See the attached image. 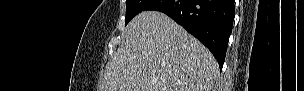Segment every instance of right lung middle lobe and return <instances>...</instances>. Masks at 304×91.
<instances>
[{"label": "right lung middle lobe", "instance_id": "1", "mask_svg": "<svg viewBox=\"0 0 304 91\" xmlns=\"http://www.w3.org/2000/svg\"><path fill=\"white\" fill-rule=\"evenodd\" d=\"M152 0H126V20L127 24L134 16L144 11Z\"/></svg>", "mask_w": 304, "mask_h": 91}]
</instances>
